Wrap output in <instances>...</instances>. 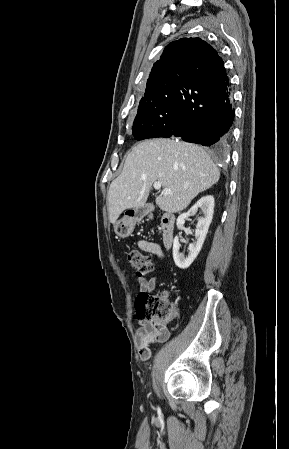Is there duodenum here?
Wrapping results in <instances>:
<instances>
[{
  "instance_id": "1",
  "label": "duodenum",
  "mask_w": 289,
  "mask_h": 449,
  "mask_svg": "<svg viewBox=\"0 0 289 449\" xmlns=\"http://www.w3.org/2000/svg\"><path fill=\"white\" fill-rule=\"evenodd\" d=\"M174 229L175 216L172 213H164L161 218V237L164 246H171L173 241Z\"/></svg>"
}]
</instances>
